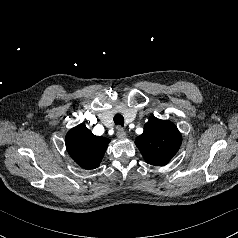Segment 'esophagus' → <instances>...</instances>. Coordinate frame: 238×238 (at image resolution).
<instances>
[{
	"label": "esophagus",
	"instance_id": "obj_1",
	"mask_svg": "<svg viewBox=\"0 0 238 238\" xmlns=\"http://www.w3.org/2000/svg\"><path fill=\"white\" fill-rule=\"evenodd\" d=\"M116 135H117L118 138H124L126 136V132L123 128L118 127Z\"/></svg>",
	"mask_w": 238,
	"mask_h": 238
}]
</instances>
